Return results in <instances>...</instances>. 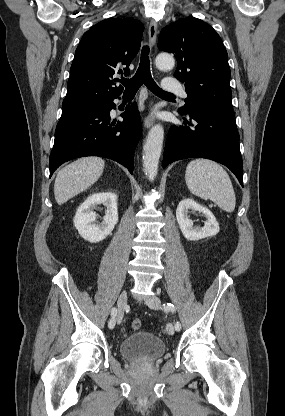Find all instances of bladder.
Here are the masks:
<instances>
[{
	"instance_id": "31cf9c89",
	"label": "bladder",
	"mask_w": 285,
	"mask_h": 416,
	"mask_svg": "<svg viewBox=\"0 0 285 416\" xmlns=\"http://www.w3.org/2000/svg\"><path fill=\"white\" fill-rule=\"evenodd\" d=\"M118 350L123 359L150 362L164 356L165 342L150 331L132 333L119 343Z\"/></svg>"
}]
</instances>
